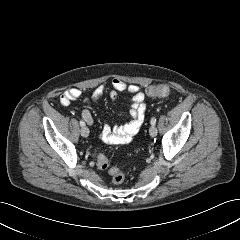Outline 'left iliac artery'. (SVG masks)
<instances>
[{
    "instance_id": "1",
    "label": "left iliac artery",
    "mask_w": 240,
    "mask_h": 240,
    "mask_svg": "<svg viewBox=\"0 0 240 240\" xmlns=\"http://www.w3.org/2000/svg\"><path fill=\"white\" fill-rule=\"evenodd\" d=\"M151 124H152V125H155V124H156V118H155V117L151 118Z\"/></svg>"
}]
</instances>
